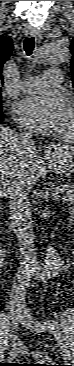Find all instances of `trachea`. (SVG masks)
Segmentation results:
<instances>
[{"mask_svg": "<svg viewBox=\"0 0 74 366\" xmlns=\"http://www.w3.org/2000/svg\"><path fill=\"white\" fill-rule=\"evenodd\" d=\"M24 50L28 56H30L35 47L34 37H26L23 42Z\"/></svg>", "mask_w": 74, "mask_h": 366, "instance_id": "1", "label": "trachea"}]
</instances>
